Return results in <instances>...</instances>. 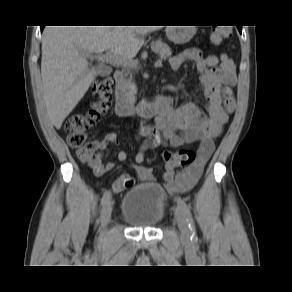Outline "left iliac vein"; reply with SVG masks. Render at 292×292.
I'll return each instance as SVG.
<instances>
[{
  "label": "left iliac vein",
  "mask_w": 292,
  "mask_h": 292,
  "mask_svg": "<svg viewBox=\"0 0 292 292\" xmlns=\"http://www.w3.org/2000/svg\"><path fill=\"white\" fill-rule=\"evenodd\" d=\"M175 220L177 222L181 237L187 239L189 236L188 222L185 213L179 207L175 208Z\"/></svg>",
  "instance_id": "left-iliac-vein-1"
}]
</instances>
